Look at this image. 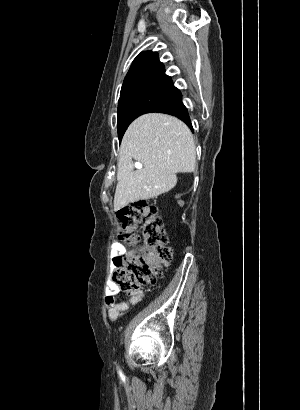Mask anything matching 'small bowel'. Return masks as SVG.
Returning a JSON list of instances; mask_svg holds the SVG:
<instances>
[{"label":"small bowel","mask_w":300,"mask_h":410,"mask_svg":"<svg viewBox=\"0 0 300 410\" xmlns=\"http://www.w3.org/2000/svg\"><path fill=\"white\" fill-rule=\"evenodd\" d=\"M124 253H133L132 251H127L126 247L118 242L112 244L111 255L117 258L118 255ZM113 266L115 265V261L113 262ZM127 296V299L124 298ZM144 297V291L141 289H136L128 294H123L117 291L111 284H109L106 297H105V304L107 308L108 317L111 321H116L123 315H125L129 307L131 305H135L142 301Z\"/></svg>","instance_id":"obj_1"}]
</instances>
